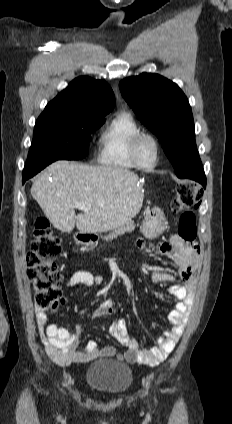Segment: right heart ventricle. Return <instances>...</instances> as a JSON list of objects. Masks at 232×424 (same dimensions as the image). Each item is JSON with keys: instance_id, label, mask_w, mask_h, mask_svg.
Listing matches in <instances>:
<instances>
[{"instance_id": "1", "label": "right heart ventricle", "mask_w": 232, "mask_h": 424, "mask_svg": "<svg viewBox=\"0 0 232 424\" xmlns=\"http://www.w3.org/2000/svg\"><path fill=\"white\" fill-rule=\"evenodd\" d=\"M141 131L140 124L131 113H119L100 133L99 162L114 169L136 168L130 157V144Z\"/></svg>"}]
</instances>
